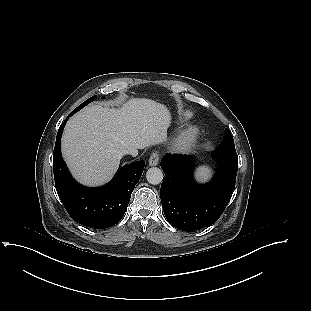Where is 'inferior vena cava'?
<instances>
[{"label":"inferior vena cava","instance_id":"1","mask_svg":"<svg viewBox=\"0 0 311 311\" xmlns=\"http://www.w3.org/2000/svg\"><path fill=\"white\" fill-rule=\"evenodd\" d=\"M137 150V147L134 145V144H131L130 146H127L126 147V154L128 155V156H135L136 155V151Z\"/></svg>","mask_w":311,"mask_h":311}]
</instances>
